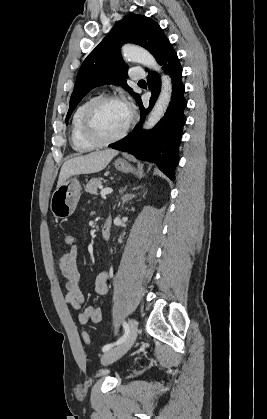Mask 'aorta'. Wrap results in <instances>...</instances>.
Returning a JSON list of instances; mask_svg holds the SVG:
<instances>
[{
    "mask_svg": "<svg viewBox=\"0 0 267 419\" xmlns=\"http://www.w3.org/2000/svg\"><path fill=\"white\" fill-rule=\"evenodd\" d=\"M122 53L127 61L139 63L145 67H148L149 69H152L160 73L161 75L162 85L159 97L144 125L145 129H151L164 116L167 107L171 101V78L162 71L161 66L158 65L155 58L145 49L134 45H124L122 48Z\"/></svg>",
    "mask_w": 267,
    "mask_h": 419,
    "instance_id": "1",
    "label": "aorta"
}]
</instances>
